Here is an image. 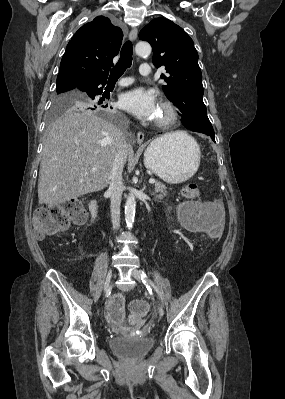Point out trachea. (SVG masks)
<instances>
[{
  "mask_svg": "<svg viewBox=\"0 0 285 399\" xmlns=\"http://www.w3.org/2000/svg\"><path fill=\"white\" fill-rule=\"evenodd\" d=\"M132 42L127 41L123 45L118 63L111 69L109 80H118L124 71L132 64Z\"/></svg>",
  "mask_w": 285,
  "mask_h": 399,
  "instance_id": "trachea-1",
  "label": "trachea"
}]
</instances>
